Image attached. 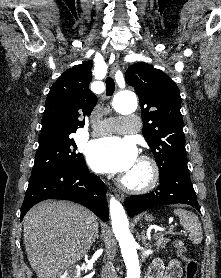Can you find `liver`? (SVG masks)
<instances>
[{"instance_id": "obj_1", "label": "liver", "mask_w": 221, "mask_h": 278, "mask_svg": "<svg viewBox=\"0 0 221 278\" xmlns=\"http://www.w3.org/2000/svg\"><path fill=\"white\" fill-rule=\"evenodd\" d=\"M96 216L69 201H43L23 219L24 244L38 278H59L90 250Z\"/></svg>"}]
</instances>
